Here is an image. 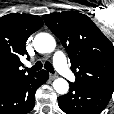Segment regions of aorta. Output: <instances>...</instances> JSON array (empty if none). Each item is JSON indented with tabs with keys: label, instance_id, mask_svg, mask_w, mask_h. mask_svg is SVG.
Returning a JSON list of instances; mask_svg holds the SVG:
<instances>
[{
	"label": "aorta",
	"instance_id": "1",
	"mask_svg": "<svg viewBox=\"0 0 114 114\" xmlns=\"http://www.w3.org/2000/svg\"><path fill=\"white\" fill-rule=\"evenodd\" d=\"M34 48L39 53H51L56 47L54 37L48 33H39L33 40ZM53 87L58 94H66L69 90L68 82L63 78H57L53 82Z\"/></svg>",
	"mask_w": 114,
	"mask_h": 114
}]
</instances>
